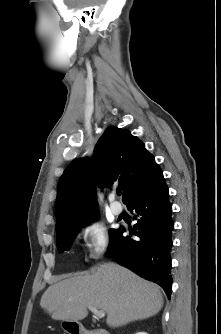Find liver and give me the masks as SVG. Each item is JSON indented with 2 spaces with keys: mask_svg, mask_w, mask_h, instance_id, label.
I'll return each mask as SVG.
<instances>
[{
  "mask_svg": "<svg viewBox=\"0 0 221 334\" xmlns=\"http://www.w3.org/2000/svg\"><path fill=\"white\" fill-rule=\"evenodd\" d=\"M163 303L157 285L108 262L51 285L40 306L53 319L70 322L84 319L87 307L94 306L107 313V325L115 328L156 315Z\"/></svg>",
  "mask_w": 221,
  "mask_h": 334,
  "instance_id": "liver-1",
  "label": "liver"
}]
</instances>
